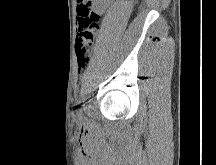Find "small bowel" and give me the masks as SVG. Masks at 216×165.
Masks as SVG:
<instances>
[{"label":"small bowel","instance_id":"c3829d8e","mask_svg":"<svg viewBox=\"0 0 216 165\" xmlns=\"http://www.w3.org/2000/svg\"><path fill=\"white\" fill-rule=\"evenodd\" d=\"M78 1V8H77V13H78V24L81 21L82 18V10H93L98 16L102 15L109 3L110 0H77Z\"/></svg>","mask_w":216,"mask_h":165}]
</instances>
